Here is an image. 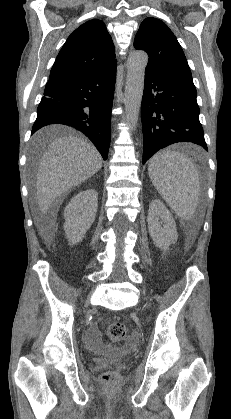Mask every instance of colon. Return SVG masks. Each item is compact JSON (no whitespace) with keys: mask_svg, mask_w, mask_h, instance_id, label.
Listing matches in <instances>:
<instances>
[{"mask_svg":"<svg viewBox=\"0 0 231 419\" xmlns=\"http://www.w3.org/2000/svg\"><path fill=\"white\" fill-rule=\"evenodd\" d=\"M127 334L125 325L121 322H113L107 328V335L112 342L122 341ZM102 383L107 388H112L116 384V374L113 371H106L101 376Z\"/></svg>","mask_w":231,"mask_h":419,"instance_id":"1","label":"colon"}]
</instances>
